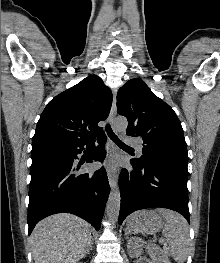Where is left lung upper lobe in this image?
Returning <instances> with one entry per match:
<instances>
[{"label":"left lung upper lobe","instance_id":"1","mask_svg":"<svg viewBox=\"0 0 220 263\" xmlns=\"http://www.w3.org/2000/svg\"><path fill=\"white\" fill-rule=\"evenodd\" d=\"M117 111L128 120L126 134L143 143L138 162L162 163L188 174V154L181 123L173 109L138 78L117 94Z\"/></svg>","mask_w":220,"mask_h":263}]
</instances>
